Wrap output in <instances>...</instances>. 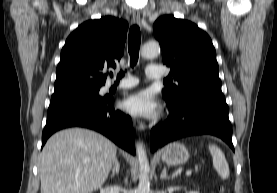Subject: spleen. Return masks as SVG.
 <instances>
[{"label":"spleen","mask_w":277,"mask_h":193,"mask_svg":"<svg viewBox=\"0 0 277 193\" xmlns=\"http://www.w3.org/2000/svg\"><path fill=\"white\" fill-rule=\"evenodd\" d=\"M209 151L212 156L213 166L217 171L218 175L222 179H227L229 177V165L226 161L225 155L220 148L216 145H209Z\"/></svg>","instance_id":"obj_1"}]
</instances>
